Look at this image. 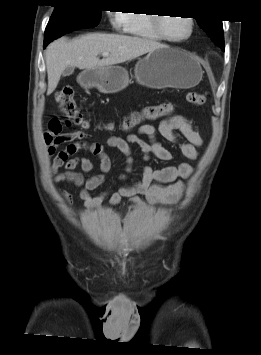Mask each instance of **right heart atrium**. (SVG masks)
Returning a JSON list of instances; mask_svg holds the SVG:
<instances>
[{
    "instance_id": "d8ad5b80",
    "label": "right heart atrium",
    "mask_w": 261,
    "mask_h": 355,
    "mask_svg": "<svg viewBox=\"0 0 261 355\" xmlns=\"http://www.w3.org/2000/svg\"><path fill=\"white\" fill-rule=\"evenodd\" d=\"M110 21L117 31H126L128 26L127 13L117 11L110 13Z\"/></svg>"
}]
</instances>
